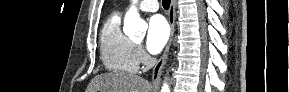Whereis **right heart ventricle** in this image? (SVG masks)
<instances>
[{
	"instance_id": "right-heart-ventricle-1",
	"label": "right heart ventricle",
	"mask_w": 289,
	"mask_h": 92,
	"mask_svg": "<svg viewBox=\"0 0 289 92\" xmlns=\"http://www.w3.org/2000/svg\"><path fill=\"white\" fill-rule=\"evenodd\" d=\"M100 53L105 68L111 72L134 74L139 68L136 46L121 30V16L111 14L101 29Z\"/></svg>"
}]
</instances>
